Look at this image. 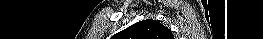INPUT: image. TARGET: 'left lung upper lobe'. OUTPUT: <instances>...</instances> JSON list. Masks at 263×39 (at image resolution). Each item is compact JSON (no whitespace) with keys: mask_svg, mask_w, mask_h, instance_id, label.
Returning <instances> with one entry per match:
<instances>
[{"mask_svg":"<svg viewBox=\"0 0 263 39\" xmlns=\"http://www.w3.org/2000/svg\"><path fill=\"white\" fill-rule=\"evenodd\" d=\"M116 39H174L171 31L156 20H143L124 29Z\"/></svg>","mask_w":263,"mask_h":39,"instance_id":"obj_1","label":"left lung upper lobe"}]
</instances>
